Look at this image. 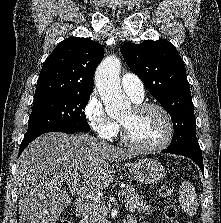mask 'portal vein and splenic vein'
Wrapping results in <instances>:
<instances>
[{"label": "portal vein and splenic vein", "instance_id": "obj_1", "mask_svg": "<svg viewBox=\"0 0 221 223\" xmlns=\"http://www.w3.org/2000/svg\"><path fill=\"white\" fill-rule=\"evenodd\" d=\"M69 188L72 192L77 193L78 195L86 198L87 200H89L90 202L96 205H100L103 203V200L98 195H96L93 191H91L89 188L85 186H75V187H69ZM124 194H125L124 191L119 192L120 196Z\"/></svg>", "mask_w": 221, "mask_h": 223}]
</instances>
